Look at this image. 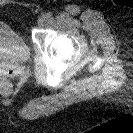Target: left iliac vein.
<instances>
[{
  "label": "left iliac vein",
  "instance_id": "4c4485c4",
  "mask_svg": "<svg viewBox=\"0 0 133 133\" xmlns=\"http://www.w3.org/2000/svg\"><path fill=\"white\" fill-rule=\"evenodd\" d=\"M47 21L46 17L45 16H42L40 17L38 20H37V23L38 25L42 26L44 25V23Z\"/></svg>",
  "mask_w": 133,
  "mask_h": 133
}]
</instances>
